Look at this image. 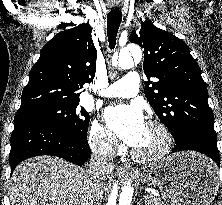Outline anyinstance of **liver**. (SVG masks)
Wrapping results in <instances>:
<instances>
[{
	"mask_svg": "<svg viewBox=\"0 0 222 205\" xmlns=\"http://www.w3.org/2000/svg\"><path fill=\"white\" fill-rule=\"evenodd\" d=\"M112 182L110 174L96 182L87 170L54 156H37L20 163L9 181L11 205H86L93 195L101 205Z\"/></svg>",
	"mask_w": 222,
	"mask_h": 205,
	"instance_id": "liver-1",
	"label": "liver"
}]
</instances>
